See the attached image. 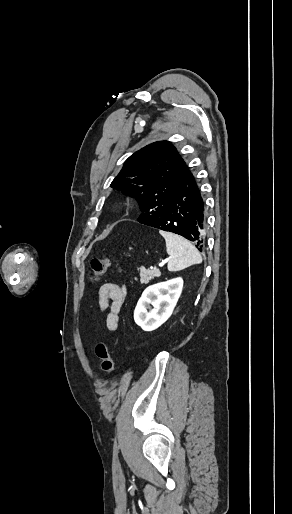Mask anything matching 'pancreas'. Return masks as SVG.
I'll list each match as a JSON object with an SVG mask.
<instances>
[{
	"mask_svg": "<svg viewBox=\"0 0 292 514\" xmlns=\"http://www.w3.org/2000/svg\"><path fill=\"white\" fill-rule=\"evenodd\" d=\"M159 276H161V272H158V270H145V268H140L141 284H148L149 280L159 278Z\"/></svg>",
	"mask_w": 292,
	"mask_h": 514,
	"instance_id": "pancreas-1",
	"label": "pancreas"
}]
</instances>
